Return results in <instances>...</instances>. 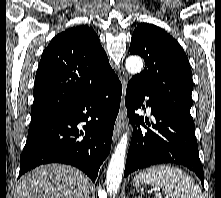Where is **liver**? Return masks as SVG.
I'll return each mask as SVG.
<instances>
[{
    "label": "liver",
    "mask_w": 221,
    "mask_h": 198,
    "mask_svg": "<svg viewBox=\"0 0 221 198\" xmlns=\"http://www.w3.org/2000/svg\"><path fill=\"white\" fill-rule=\"evenodd\" d=\"M90 181L69 165L48 164L35 168L16 186L13 198H89Z\"/></svg>",
    "instance_id": "1"
}]
</instances>
